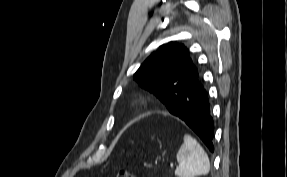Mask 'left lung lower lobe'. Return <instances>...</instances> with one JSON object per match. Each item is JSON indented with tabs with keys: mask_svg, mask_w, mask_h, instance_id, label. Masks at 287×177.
I'll list each match as a JSON object with an SVG mask.
<instances>
[{
	"mask_svg": "<svg viewBox=\"0 0 287 177\" xmlns=\"http://www.w3.org/2000/svg\"><path fill=\"white\" fill-rule=\"evenodd\" d=\"M169 112L182 119L213 152V119L207 93L201 83L183 88L171 98Z\"/></svg>",
	"mask_w": 287,
	"mask_h": 177,
	"instance_id": "obj_1",
	"label": "left lung lower lobe"
}]
</instances>
